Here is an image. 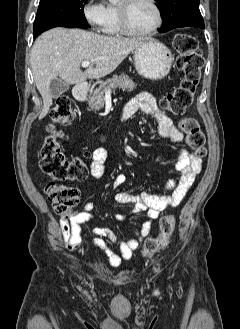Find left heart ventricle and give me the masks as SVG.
Returning <instances> with one entry per match:
<instances>
[{
	"label": "left heart ventricle",
	"mask_w": 240,
	"mask_h": 329,
	"mask_svg": "<svg viewBox=\"0 0 240 329\" xmlns=\"http://www.w3.org/2000/svg\"><path fill=\"white\" fill-rule=\"evenodd\" d=\"M129 25L133 30H147L156 22V13L148 0H135L128 7Z\"/></svg>",
	"instance_id": "obj_1"
}]
</instances>
